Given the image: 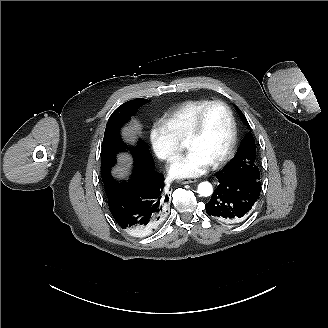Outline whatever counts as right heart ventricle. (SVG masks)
<instances>
[{"instance_id": "right-heart-ventricle-1", "label": "right heart ventricle", "mask_w": 328, "mask_h": 328, "mask_svg": "<svg viewBox=\"0 0 328 328\" xmlns=\"http://www.w3.org/2000/svg\"><path fill=\"white\" fill-rule=\"evenodd\" d=\"M209 102L211 101L207 99L186 101L165 112L158 121L166 127L177 142L182 143L195 117Z\"/></svg>"}]
</instances>
